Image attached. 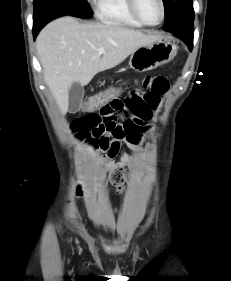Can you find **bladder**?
Instances as JSON below:
<instances>
[{
	"label": "bladder",
	"instance_id": "1",
	"mask_svg": "<svg viewBox=\"0 0 231 281\" xmlns=\"http://www.w3.org/2000/svg\"><path fill=\"white\" fill-rule=\"evenodd\" d=\"M101 228H102L103 230H108L105 225H101Z\"/></svg>",
	"mask_w": 231,
	"mask_h": 281
}]
</instances>
